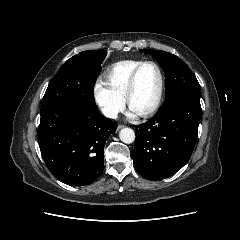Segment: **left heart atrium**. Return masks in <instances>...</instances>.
Listing matches in <instances>:
<instances>
[{
  "instance_id": "obj_1",
  "label": "left heart atrium",
  "mask_w": 240,
  "mask_h": 240,
  "mask_svg": "<svg viewBox=\"0 0 240 240\" xmlns=\"http://www.w3.org/2000/svg\"><path fill=\"white\" fill-rule=\"evenodd\" d=\"M138 114L139 113H137L134 109H132L131 107H130V111H129V117H131V118H135L136 116H138Z\"/></svg>"
}]
</instances>
